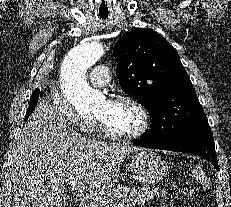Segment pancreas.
<instances>
[{
  "instance_id": "obj_1",
  "label": "pancreas",
  "mask_w": 231,
  "mask_h": 207,
  "mask_svg": "<svg viewBox=\"0 0 231 207\" xmlns=\"http://www.w3.org/2000/svg\"><path fill=\"white\" fill-rule=\"evenodd\" d=\"M165 190H160L159 188H132V187H118L116 189L110 190L106 196H104L103 203L100 201H91L87 204L86 207H108L110 203H118L120 201H125L130 206H144L146 202L154 200L160 197L166 196Z\"/></svg>"
}]
</instances>
